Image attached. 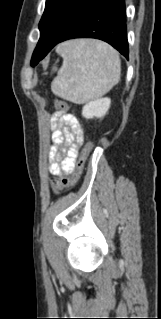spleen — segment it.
<instances>
[{
  "label": "spleen",
  "mask_w": 161,
  "mask_h": 319,
  "mask_svg": "<svg viewBox=\"0 0 161 319\" xmlns=\"http://www.w3.org/2000/svg\"><path fill=\"white\" fill-rule=\"evenodd\" d=\"M63 64L51 84L52 92L75 104H83L108 93L120 80L121 64L110 45L89 39L60 44Z\"/></svg>",
  "instance_id": "1"
}]
</instances>
